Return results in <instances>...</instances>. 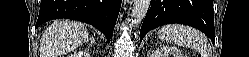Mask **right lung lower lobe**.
I'll return each instance as SVG.
<instances>
[{
	"mask_svg": "<svg viewBox=\"0 0 249 57\" xmlns=\"http://www.w3.org/2000/svg\"><path fill=\"white\" fill-rule=\"evenodd\" d=\"M120 6L121 0H41L36 27L58 18L78 20L96 27L110 42Z\"/></svg>",
	"mask_w": 249,
	"mask_h": 57,
	"instance_id": "obj_1",
	"label": "right lung lower lobe"
}]
</instances>
